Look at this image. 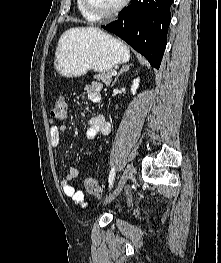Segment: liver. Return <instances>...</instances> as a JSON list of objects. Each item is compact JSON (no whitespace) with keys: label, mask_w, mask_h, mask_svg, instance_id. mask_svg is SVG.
Wrapping results in <instances>:
<instances>
[{"label":"liver","mask_w":221,"mask_h":263,"mask_svg":"<svg viewBox=\"0 0 221 263\" xmlns=\"http://www.w3.org/2000/svg\"><path fill=\"white\" fill-rule=\"evenodd\" d=\"M84 29H87V30H89V31H97V30H99V29L93 28V27H88V28H84Z\"/></svg>","instance_id":"6515ba94"}]
</instances>
